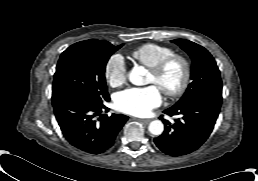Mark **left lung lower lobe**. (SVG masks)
I'll use <instances>...</instances> for the list:
<instances>
[{
    "mask_svg": "<svg viewBox=\"0 0 258 181\" xmlns=\"http://www.w3.org/2000/svg\"><path fill=\"white\" fill-rule=\"evenodd\" d=\"M222 97L204 96L185 105L172 106L164 113L180 115L171 124L163 121L165 130L154 139L156 146L170 156H181L197 150L212 132L221 108Z\"/></svg>",
    "mask_w": 258,
    "mask_h": 181,
    "instance_id": "left-lung-lower-lobe-1",
    "label": "left lung lower lobe"
}]
</instances>
